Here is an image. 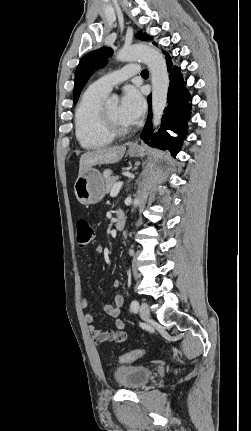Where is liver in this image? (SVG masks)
<instances>
[{"label": "liver", "instance_id": "1", "mask_svg": "<svg viewBox=\"0 0 251 431\" xmlns=\"http://www.w3.org/2000/svg\"><path fill=\"white\" fill-rule=\"evenodd\" d=\"M125 151L126 144L113 147H101L84 153L80 158L78 177L83 175L92 166L119 162Z\"/></svg>", "mask_w": 251, "mask_h": 431}]
</instances>
